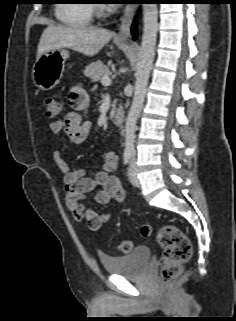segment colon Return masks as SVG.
<instances>
[{
	"label": "colon",
	"instance_id": "5ec220e1",
	"mask_svg": "<svg viewBox=\"0 0 236 321\" xmlns=\"http://www.w3.org/2000/svg\"><path fill=\"white\" fill-rule=\"evenodd\" d=\"M46 115L55 119L61 112V103L53 97L44 100ZM143 237H149L153 232L156 241L163 248V262L161 266V278L164 284L171 283L183 271L184 264L189 260L192 253L190 240L176 227L164 225L156 231L149 224H142L139 228ZM132 242L122 240L117 243L116 249L122 254H127L132 249Z\"/></svg>",
	"mask_w": 236,
	"mask_h": 321
}]
</instances>
